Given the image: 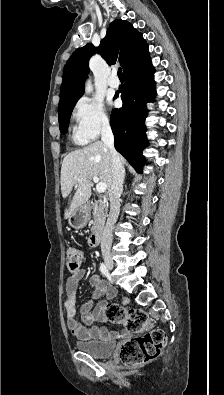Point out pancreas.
<instances>
[{
	"label": "pancreas",
	"instance_id": "obj_1",
	"mask_svg": "<svg viewBox=\"0 0 224 395\" xmlns=\"http://www.w3.org/2000/svg\"><path fill=\"white\" fill-rule=\"evenodd\" d=\"M107 211L108 209L103 203L95 202L93 204V231L104 225Z\"/></svg>",
	"mask_w": 224,
	"mask_h": 395
}]
</instances>
